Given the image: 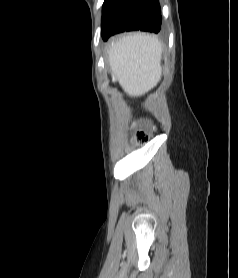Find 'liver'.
Listing matches in <instances>:
<instances>
[{
	"mask_svg": "<svg viewBox=\"0 0 238 278\" xmlns=\"http://www.w3.org/2000/svg\"><path fill=\"white\" fill-rule=\"evenodd\" d=\"M108 54L112 81L129 96L144 95L161 79L162 44L153 34L122 36L112 42Z\"/></svg>",
	"mask_w": 238,
	"mask_h": 278,
	"instance_id": "6515ba94",
	"label": "liver"
}]
</instances>
